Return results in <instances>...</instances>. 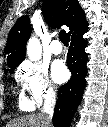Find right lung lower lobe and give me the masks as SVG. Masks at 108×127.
Instances as JSON below:
<instances>
[{
	"mask_svg": "<svg viewBox=\"0 0 108 127\" xmlns=\"http://www.w3.org/2000/svg\"><path fill=\"white\" fill-rule=\"evenodd\" d=\"M88 29V23L68 35L70 47L68 50L67 65L72 72L68 83L62 85L58 91V98L53 115L54 127H69L73 115L81 102L85 88L87 74V41L83 34Z\"/></svg>",
	"mask_w": 108,
	"mask_h": 127,
	"instance_id": "1",
	"label": "right lung lower lobe"
}]
</instances>
